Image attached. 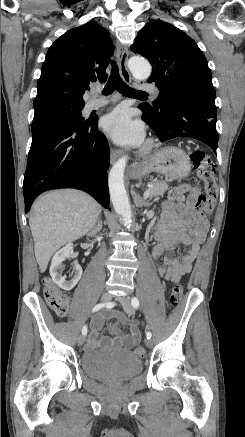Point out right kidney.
Returning <instances> with one entry per match:
<instances>
[{
    "instance_id": "1",
    "label": "right kidney",
    "mask_w": 245,
    "mask_h": 437,
    "mask_svg": "<svg viewBox=\"0 0 245 437\" xmlns=\"http://www.w3.org/2000/svg\"><path fill=\"white\" fill-rule=\"evenodd\" d=\"M72 253L73 244L69 243L55 253L50 266V275L53 281L65 291L72 290L82 276V268L78 263H74V274L69 280H66V276L62 275L63 262L67 258L69 259Z\"/></svg>"
}]
</instances>
